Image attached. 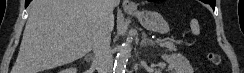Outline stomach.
I'll return each instance as SVG.
<instances>
[{
	"mask_svg": "<svg viewBox=\"0 0 244 73\" xmlns=\"http://www.w3.org/2000/svg\"><path fill=\"white\" fill-rule=\"evenodd\" d=\"M133 13L140 24L147 30L159 34H166L170 31V27L167 21L162 17L161 14L154 11H128Z\"/></svg>",
	"mask_w": 244,
	"mask_h": 73,
	"instance_id": "1",
	"label": "stomach"
}]
</instances>
